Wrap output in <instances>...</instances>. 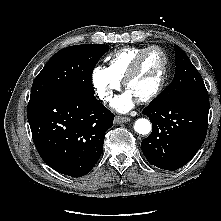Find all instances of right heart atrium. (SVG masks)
<instances>
[{"label":"right heart atrium","mask_w":221,"mask_h":221,"mask_svg":"<svg viewBox=\"0 0 221 221\" xmlns=\"http://www.w3.org/2000/svg\"><path fill=\"white\" fill-rule=\"evenodd\" d=\"M91 83L97 97L108 103L113 98V94L121 86L120 80L116 78L108 67L97 66L92 71Z\"/></svg>","instance_id":"d8ad5b80"}]
</instances>
